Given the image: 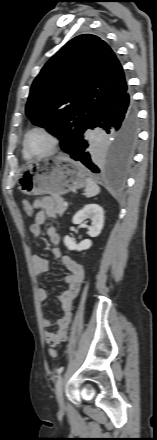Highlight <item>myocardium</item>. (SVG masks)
Segmentation results:
<instances>
[{
  "mask_svg": "<svg viewBox=\"0 0 157 440\" xmlns=\"http://www.w3.org/2000/svg\"><path fill=\"white\" fill-rule=\"evenodd\" d=\"M36 131H39V132L44 133V134L50 139V142H51L50 148H49V150H48L46 153H44V154L33 155V154H31V153L29 152V150H28V147H27V139H28V136H29L31 133L36 132ZM59 144H60L59 137H58V135H57L52 129H50V128L46 127V126H43V125H36V126H33L32 128H30V129L25 133L24 138H23V151L25 152L26 155H28V156H30V157H42V156H48V155H51V154H53L54 152H56V150H57L58 147H59Z\"/></svg>",
  "mask_w": 157,
  "mask_h": 440,
  "instance_id": "f54148a6",
  "label": "myocardium"
}]
</instances>
